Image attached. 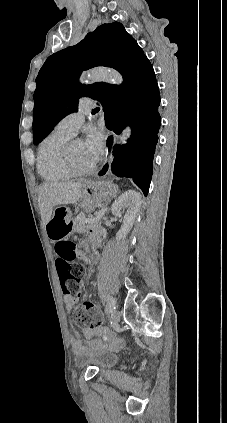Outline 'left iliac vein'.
Segmentation results:
<instances>
[{
  "instance_id": "obj_1",
  "label": "left iliac vein",
  "mask_w": 227,
  "mask_h": 423,
  "mask_svg": "<svg viewBox=\"0 0 227 423\" xmlns=\"http://www.w3.org/2000/svg\"><path fill=\"white\" fill-rule=\"evenodd\" d=\"M111 306H112V305H111ZM120 318H121V313H120V311L115 310V311L113 312V314H112L111 322H112L114 325H118V323H119V321H120Z\"/></svg>"
}]
</instances>
